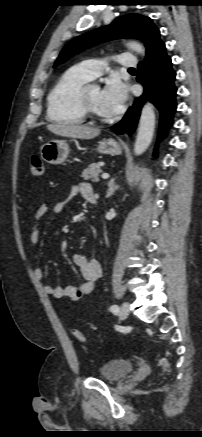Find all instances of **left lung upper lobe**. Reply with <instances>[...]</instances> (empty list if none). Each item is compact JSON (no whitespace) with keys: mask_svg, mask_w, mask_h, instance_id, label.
<instances>
[{"mask_svg":"<svg viewBox=\"0 0 202 437\" xmlns=\"http://www.w3.org/2000/svg\"><path fill=\"white\" fill-rule=\"evenodd\" d=\"M118 38H136L143 41L146 47V58L163 43L160 39L159 29L149 17L128 14L115 19L108 26L95 29L71 40L61 51L54 67L87 48Z\"/></svg>","mask_w":202,"mask_h":437,"instance_id":"5c2ea615","label":"left lung upper lobe"}]
</instances>
